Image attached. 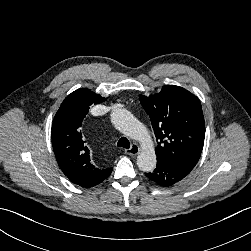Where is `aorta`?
Listing matches in <instances>:
<instances>
[{
	"label": "aorta",
	"mask_w": 251,
	"mask_h": 251,
	"mask_svg": "<svg viewBox=\"0 0 251 251\" xmlns=\"http://www.w3.org/2000/svg\"><path fill=\"white\" fill-rule=\"evenodd\" d=\"M112 124L124 135L141 143L142 151L137 157V166L143 172L155 169L157 158L152 138L146 127L129 111L116 109L111 113Z\"/></svg>",
	"instance_id": "1"
}]
</instances>
